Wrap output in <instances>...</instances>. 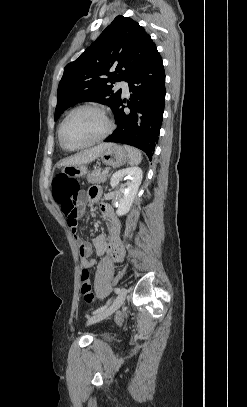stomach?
<instances>
[{
	"mask_svg": "<svg viewBox=\"0 0 247 407\" xmlns=\"http://www.w3.org/2000/svg\"><path fill=\"white\" fill-rule=\"evenodd\" d=\"M100 159L105 165L118 167L128 161L129 154L124 147L110 144L100 154ZM62 171L68 176L81 177L87 174V166L86 164L65 166Z\"/></svg>",
	"mask_w": 247,
	"mask_h": 407,
	"instance_id": "0dacf381",
	"label": "stomach"
}]
</instances>
